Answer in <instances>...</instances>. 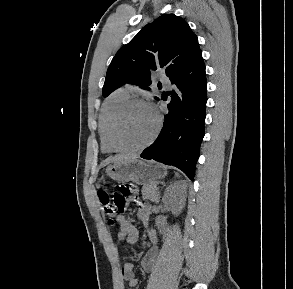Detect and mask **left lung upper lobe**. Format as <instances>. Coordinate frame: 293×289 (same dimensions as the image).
<instances>
[{
    "label": "left lung upper lobe",
    "mask_w": 293,
    "mask_h": 289,
    "mask_svg": "<svg viewBox=\"0 0 293 289\" xmlns=\"http://www.w3.org/2000/svg\"><path fill=\"white\" fill-rule=\"evenodd\" d=\"M200 52L198 38L184 19L161 15L116 53L107 70L103 95L107 97L125 83L149 90L153 70L163 68L170 78Z\"/></svg>",
    "instance_id": "left-lung-upper-lobe-1"
}]
</instances>
